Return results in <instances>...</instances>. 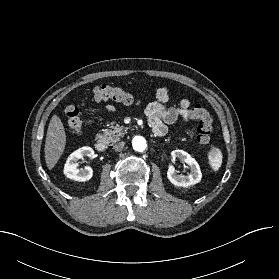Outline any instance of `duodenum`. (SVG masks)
Instances as JSON below:
<instances>
[{
  "instance_id": "410a0bca",
  "label": "duodenum",
  "mask_w": 279,
  "mask_h": 279,
  "mask_svg": "<svg viewBox=\"0 0 279 279\" xmlns=\"http://www.w3.org/2000/svg\"><path fill=\"white\" fill-rule=\"evenodd\" d=\"M95 149L98 151V152H104L107 148V145H106V142L102 139H98L95 144Z\"/></svg>"
}]
</instances>
